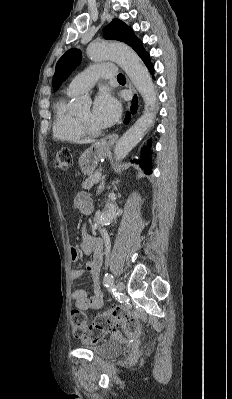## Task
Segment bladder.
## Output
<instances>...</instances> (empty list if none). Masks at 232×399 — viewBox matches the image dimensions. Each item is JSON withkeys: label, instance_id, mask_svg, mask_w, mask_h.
Returning <instances> with one entry per match:
<instances>
[{"label": "bladder", "instance_id": "31cf9c89", "mask_svg": "<svg viewBox=\"0 0 232 399\" xmlns=\"http://www.w3.org/2000/svg\"><path fill=\"white\" fill-rule=\"evenodd\" d=\"M93 353L100 358H112L122 353V347L116 340H107L93 348Z\"/></svg>", "mask_w": 232, "mask_h": 399}]
</instances>
